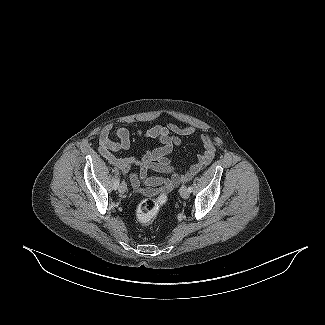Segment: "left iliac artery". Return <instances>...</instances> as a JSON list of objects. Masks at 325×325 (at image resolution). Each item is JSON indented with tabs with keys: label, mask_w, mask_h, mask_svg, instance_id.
I'll use <instances>...</instances> for the list:
<instances>
[{
	"label": "left iliac artery",
	"mask_w": 325,
	"mask_h": 325,
	"mask_svg": "<svg viewBox=\"0 0 325 325\" xmlns=\"http://www.w3.org/2000/svg\"><path fill=\"white\" fill-rule=\"evenodd\" d=\"M189 192H192L193 188L190 186L188 187Z\"/></svg>",
	"instance_id": "left-iliac-artery-1"
}]
</instances>
